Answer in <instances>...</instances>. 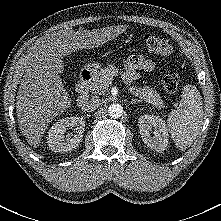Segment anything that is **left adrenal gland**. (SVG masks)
Segmentation results:
<instances>
[{
	"label": "left adrenal gland",
	"instance_id": "1",
	"mask_svg": "<svg viewBox=\"0 0 221 221\" xmlns=\"http://www.w3.org/2000/svg\"><path fill=\"white\" fill-rule=\"evenodd\" d=\"M136 102H141V100H139V99H133V98H132L131 104L133 105V104H135Z\"/></svg>",
	"mask_w": 221,
	"mask_h": 221
}]
</instances>
